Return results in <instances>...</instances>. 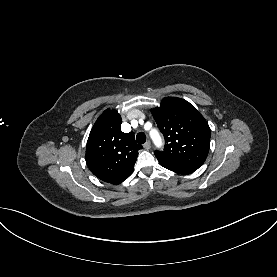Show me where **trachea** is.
Here are the masks:
<instances>
[{"label": "trachea", "instance_id": "trachea-1", "mask_svg": "<svg viewBox=\"0 0 277 277\" xmlns=\"http://www.w3.org/2000/svg\"><path fill=\"white\" fill-rule=\"evenodd\" d=\"M136 140L139 144H144L146 141V135L143 132H139L136 135Z\"/></svg>", "mask_w": 277, "mask_h": 277}]
</instances>
